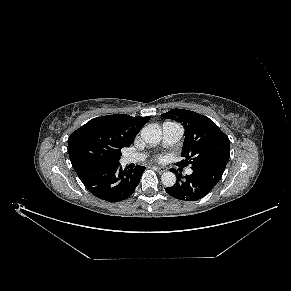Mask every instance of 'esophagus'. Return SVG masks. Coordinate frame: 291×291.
Masks as SVG:
<instances>
[{
    "label": "esophagus",
    "mask_w": 291,
    "mask_h": 291,
    "mask_svg": "<svg viewBox=\"0 0 291 291\" xmlns=\"http://www.w3.org/2000/svg\"><path fill=\"white\" fill-rule=\"evenodd\" d=\"M154 169L158 172V173H164L166 171V168L164 167H154Z\"/></svg>",
    "instance_id": "1"
}]
</instances>
